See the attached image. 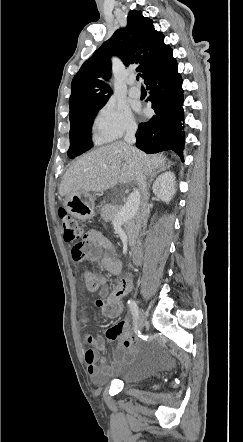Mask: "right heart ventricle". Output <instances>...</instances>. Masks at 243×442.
Wrapping results in <instances>:
<instances>
[{
    "label": "right heart ventricle",
    "instance_id": "e07e8e85",
    "mask_svg": "<svg viewBox=\"0 0 243 442\" xmlns=\"http://www.w3.org/2000/svg\"><path fill=\"white\" fill-rule=\"evenodd\" d=\"M95 140L97 141V142H103L102 140H100L98 137H96L95 136Z\"/></svg>",
    "mask_w": 243,
    "mask_h": 442
}]
</instances>
